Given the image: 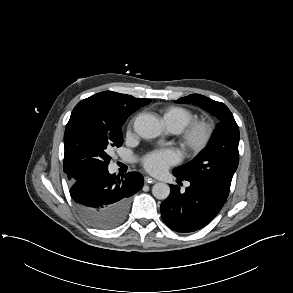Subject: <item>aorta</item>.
<instances>
[{"label": "aorta", "mask_w": 293, "mask_h": 293, "mask_svg": "<svg viewBox=\"0 0 293 293\" xmlns=\"http://www.w3.org/2000/svg\"><path fill=\"white\" fill-rule=\"evenodd\" d=\"M134 130L142 138L153 139L162 134L159 120L149 114H141L134 121ZM152 194L159 200L166 199L170 194V187L166 183L157 182L152 187Z\"/></svg>", "instance_id": "obj_1"}]
</instances>
